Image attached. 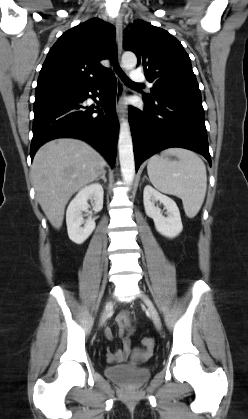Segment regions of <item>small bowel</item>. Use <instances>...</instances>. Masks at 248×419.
<instances>
[{
    "label": "small bowel",
    "mask_w": 248,
    "mask_h": 419,
    "mask_svg": "<svg viewBox=\"0 0 248 419\" xmlns=\"http://www.w3.org/2000/svg\"><path fill=\"white\" fill-rule=\"evenodd\" d=\"M117 323L119 326V335L122 339V348L107 355V359L110 362L124 361L132 350V342L129 335L132 332L133 327L127 312H121L118 314ZM105 335L109 340L113 338V334L110 329L106 330Z\"/></svg>",
    "instance_id": "obj_1"
}]
</instances>
